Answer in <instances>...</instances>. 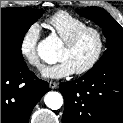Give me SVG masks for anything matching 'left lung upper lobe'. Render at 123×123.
<instances>
[{"instance_id": "5c2ea615", "label": "left lung upper lobe", "mask_w": 123, "mask_h": 123, "mask_svg": "<svg viewBox=\"0 0 123 123\" xmlns=\"http://www.w3.org/2000/svg\"><path fill=\"white\" fill-rule=\"evenodd\" d=\"M78 13L99 25L106 37V51L94 66L105 61L123 58V28L107 13L99 7H87Z\"/></svg>"}]
</instances>
